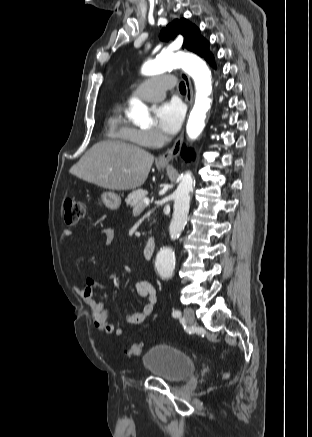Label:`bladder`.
<instances>
[{
  "label": "bladder",
  "mask_w": 312,
  "mask_h": 437,
  "mask_svg": "<svg viewBox=\"0 0 312 437\" xmlns=\"http://www.w3.org/2000/svg\"><path fill=\"white\" fill-rule=\"evenodd\" d=\"M142 365L151 376L168 383H178L195 371V363L188 355L166 344L151 347L143 354Z\"/></svg>",
  "instance_id": "obj_1"
}]
</instances>
